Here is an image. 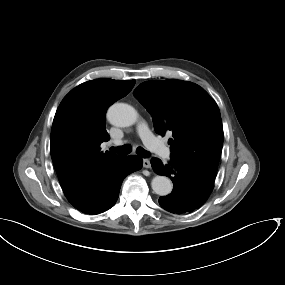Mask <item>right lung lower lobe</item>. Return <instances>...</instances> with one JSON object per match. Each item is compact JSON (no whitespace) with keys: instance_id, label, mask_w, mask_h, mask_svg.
Returning a JSON list of instances; mask_svg holds the SVG:
<instances>
[{"instance_id":"98d812e1","label":"right lung lower lobe","mask_w":285,"mask_h":285,"mask_svg":"<svg viewBox=\"0 0 285 285\" xmlns=\"http://www.w3.org/2000/svg\"><path fill=\"white\" fill-rule=\"evenodd\" d=\"M143 160L136 155L125 157L120 163L105 171L71 204L80 212L100 214L110 209L117 201L124 178L142 168Z\"/></svg>"}]
</instances>
